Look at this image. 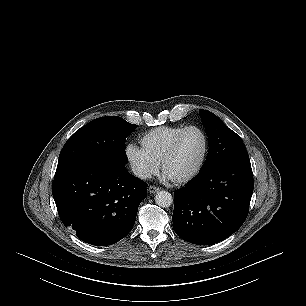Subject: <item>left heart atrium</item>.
<instances>
[{"label":"left heart atrium","instance_id":"obj_1","mask_svg":"<svg viewBox=\"0 0 306 306\" xmlns=\"http://www.w3.org/2000/svg\"><path fill=\"white\" fill-rule=\"evenodd\" d=\"M163 179H165V180H172L173 178H172L169 174H167L166 172H164V174H163Z\"/></svg>","mask_w":306,"mask_h":306}]
</instances>
